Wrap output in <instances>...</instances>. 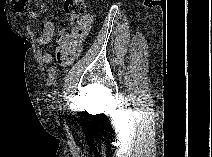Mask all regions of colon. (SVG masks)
<instances>
[{"label":"colon","mask_w":212,"mask_h":157,"mask_svg":"<svg viewBox=\"0 0 212 157\" xmlns=\"http://www.w3.org/2000/svg\"><path fill=\"white\" fill-rule=\"evenodd\" d=\"M63 10L70 21L79 25L86 13V3L84 0H65L63 4ZM68 36L76 37L78 36V33L73 32ZM62 39H64V37H62Z\"/></svg>","instance_id":"obj_1"}]
</instances>
